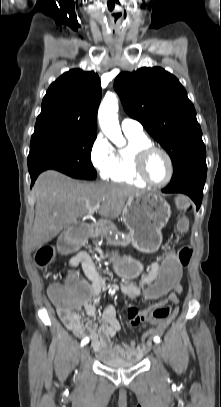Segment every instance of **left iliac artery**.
<instances>
[{
  "label": "left iliac artery",
  "instance_id": "1",
  "mask_svg": "<svg viewBox=\"0 0 221 407\" xmlns=\"http://www.w3.org/2000/svg\"><path fill=\"white\" fill-rule=\"evenodd\" d=\"M154 341H155L156 343H159V342H161V339H160L159 337H155V338H154Z\"/></svg>",
  "mask_w": 221,
  "mask_h": 407
}]
</instances>
